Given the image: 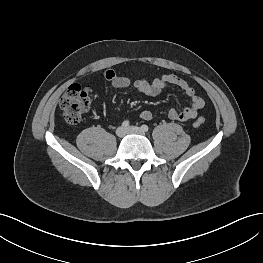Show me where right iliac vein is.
Returning a JSON list of instances; mask_svg holds the SVG:
<instances>
[{
  "label": "right iliac vein",
  "mask_w": 263,
  "mask_h": 263,
  "mask_svg": "<svg viewBox=\"0 0 263 263\" xmlns=\"http://www.w3.org/2000/svg\"><path fill=\"white\" fill-rule=\"evenodd\" d=\"M125 134H126L125 128H123V127H118V128L116 129V135H117L118 137L122 138V137L125 136Z\"/></svg>",
  "instance_id": "right-iliac-vein-1"
}]
</instances>
